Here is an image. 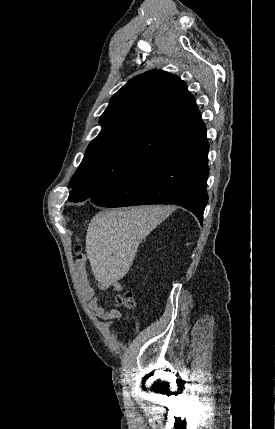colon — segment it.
I'll return each instance as SVG.
<instances>
[{
    "label": "colon",
    "instance_id": "obj_1",
    "mask_svg": "<svg viewBox=\"0 0 275 429\" xmlns=\"http://www.w3.org/2000/svg\"><path fill=\"white\" fill-rule=\"evenodd\" d=\"M76 253L78 255V258L81 260L82 256L80 254L79 249H76ZM118 304L128 309L133 308L135 305L133 294L129 291L124 292L121 296L118 297Z\"/></svg>",
    "mask_w": 275,
    "mask_h": 429
}]
</instances>
